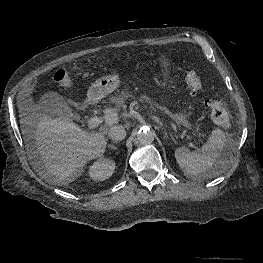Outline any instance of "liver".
<instances>
[{"instance_id": "liver-1", "label": "liver", "mask_w": 263, "mask_h": 263, "mask_svg": "<svg viewBox=\"0 0 263 263\" xmlns=\"http://www.w3.org/2000/svg\"><path fill=\"white\" fill-rule=\"evenodd\" d=\"M26 104L20 107V124L25 140L30 128L34 129L36 151H29L33 168L55 185L72 182L89 161L103 156L107 146L104 130L119 122L116 108L105 109L101 132L89 133L73 121L52 119L41 115L36 105Z\"/></svg>"}]
</instances>
